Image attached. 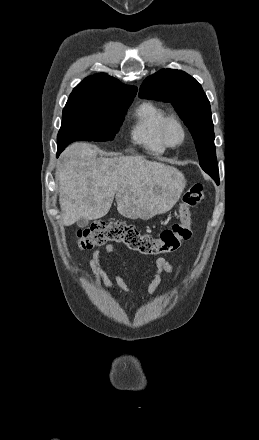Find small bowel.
<instances>
[{"mask_svg":"<svg viewBox=\"0 0 259 440\" xmlns=\"http://www.w3.org/2000/svg\"><path fill=\"white\" fill-rule=\"evenodd\" d=\"M113 252H114V246L112 244H107L105 247L106 256L108 258H111ZM88 268H89V273L95 276L96 287L102 294L109 295L110 294L109 291H113V292L120 291L123 293H130V289L128 288L127 284L120 275L114 273L113 280H111L108 277V275L104 272V270L102 269L101 256L99 250H95L92 253L89 260ZM172 272H173V266L171 265V263L165 258H158L155 262L154 276L151 282L149 283L148 287L142 294L145 296H150L154 294V292L157 290V288L161 283L162 274L172 273Z\"/></svg>","mask_w":259,"mask_h":440,"instance_id":"small-bowel-1","label":"small bowel"}]
</instances>
